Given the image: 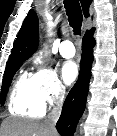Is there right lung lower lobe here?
Wrapping results in <instances>:
<instances>
[{
	"mask_svg": "<svg viewBox=\"0 0 117 136\" xmlns=\"http://www.w3.org/2000/svg\"><path fill=\"white\" fill-rule=\"evenodd\" d=\"M93 33L94 30L88 31L83 37L79 78L70 90L63 104L61 116L56 124L57 131L62 136L73 135L86 106L93 62V47L95 46Z\"/></svg>",
	"mask_w": 117,
	"mask_h": 136,
	"instance_id": "right-lung-lower-lobe-1",
	"label": "right lung lower lobe"
}]
</instances>
